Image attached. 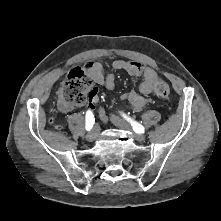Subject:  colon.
Here are the masks:
<instances>
[{"label": "colon", "instance_id": "5ec220e1", "mask_svg": "<svg viewBox=\"0 0 221 221\" xmlns=\"http://www.w3.org/2000/svg\"><path fill=\"white\" fill-rule=\"evenodd\" d=\"M92 86V78L88 72L80 67H74L69 70L67 76L60 88V98L62 101L73 104H83L88 96V90ZM155 95L160 99H168L170 95V87L160 81L154 88Z\"/></svg>", "mask_w": 221, "mask_h": 221}]
</instances>
